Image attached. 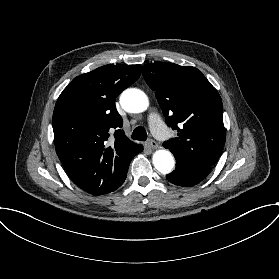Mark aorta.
I'll return each instance as SVG.
<instances>
[{"instance_id": "obj_1", "label": "aorta", "mask_w": 279, "mask_h": 279, "mask_svg": "<svg viewBox=\"0 0 279 279\" xmlns=\"http://www.w3.org/2000/svg\"><path fill=\"white\" fill-rule=\"evenodd\" d=\"M122 108L129 113L144 112L149 106L147 95L136 88L126 89L120 96ZM152 162L157 171L162 174H169L175 166L174 156L169 150H157L152 157Z\"/></svg>"}]
</instances>
